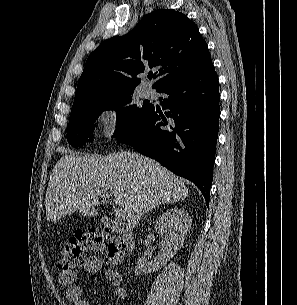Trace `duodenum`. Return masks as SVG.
I'll use <instances>...</instances> for the list:
<instances>
[{"instance_id":"duodenum-1","label":"duodenum","mask_w":297,"mask_h":305,"mask_svg":"<svg viewBox=\"0 0 297 305\" xmlns=\"http://www.w3.org/2000/svg\"><path fill=\"white\" fill-rule=\"evenodd\" d=\"M104 223L109 229L121 236L125 251L128 254L132 253L135 248V241L130 226L124 222H118L108 216L104 218Z\"/></svg>"}]
</instances>
